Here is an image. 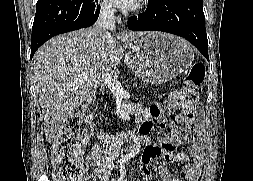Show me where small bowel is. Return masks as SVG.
<instances>
[{
  "instance_id": "1",
  "label": "small bowel",
  "mask_w": 253,
  "mask_h": 181,
  "mask_svg": "<svg viewBox=\"0 0 253 181\" xmlns=\"http://www.w3.org/2000/svg\"><path fill=\"white\" fill-rule=\"evenodd\" d=\"M182 103L179 99L178 92L170 93L162 103H156L150 107L149 111L143 112V117L151 120H146L139 127V134L145 148L141 156V175L143 179L149 178L151 175L150 163L152 160L163 157L172 163H182L184 179H179L173 176L165 166L158 168V176L161 181H198L203 164L204 143L199 131H196L189 122L188 130L184 135L178 138L174 136H165L161 138L158 144H153L149 140V136L153 132L154 126H163L165 124L164 112L174 107H181ZM196 133L197 137L193 138ZM180 141H192L190 152H177L175 149ZM111 143L110 137L106 133H99L97 139L92 143L87 159L95 169L96 176L101 181H107L110 175V164L113 153L108 149ZM191 163H188L189 161Z\"/></svg>"
}]
</instances>
